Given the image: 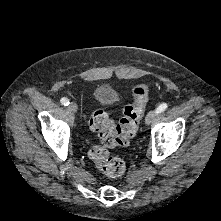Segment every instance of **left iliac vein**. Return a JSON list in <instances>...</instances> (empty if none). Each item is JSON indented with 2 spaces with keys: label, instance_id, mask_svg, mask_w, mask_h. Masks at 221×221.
I'll return each instance as SVG.
<instances>
[{
  "label": "left iliac vein",
  "instance_id": "left-iliac-vein-1",
  "mask_svg": "<svg viewBox=\"0 0 221 221\" xmlns=\"http://www.w3.org/2000/svg\"><path fill=\"white\" fill-rule=\"evenodd\" d=\"M156 114V110H151L150 112H148L145 118V123L149 125L155 119Z\"/></svg>",
  "mask_w": 221,
  "mask_h": 221
}]
</instances>
